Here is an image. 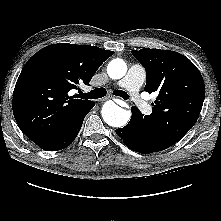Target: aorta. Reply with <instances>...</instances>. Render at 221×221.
I'll list each match as a JSON object with an SVG mask.
<instances>
[{
  "instance_id": "obj_1",
  "label": "aorta",
  "mask_w": 221,
  "mask_h": 221,
  "mask_svg": "<svg viewBox=\"0 0 221 221\" xmlns=\"http://www.w3.org/2000/svg\"><path fill=\"white\" fill-rule=\"evenodd\" d=\"M127 72V65L123 59L117 58L109 62L107 74L112 79H121ZM103 120L112 127L125 126L131 116L130 111L125 110L113 101H107L102 107Z\"/></svg>"
}]
</instances>
